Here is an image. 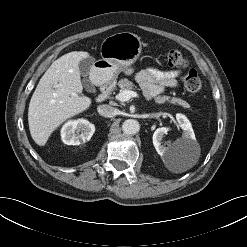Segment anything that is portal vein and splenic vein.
<instances>
[{
  "instance_id": "obj_1",
  "label": "portal vein and splenic vein",
  "mask_w": 247,
  "mask_h": 247,
  "mask_svg": "<svg viewBox=\"0 0 247 247\" xmlns=\"http://www.w3.org/2000/svg\"><path fill=\"white\" fill-rule=\"evenodd\" d=\"M132 97H138L137 92L131 90H124L117 94L116 98L120 102H126L130 100Z\"/></svg>"
}]
</instances>
